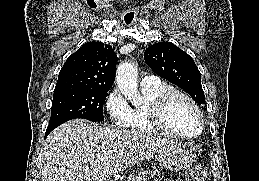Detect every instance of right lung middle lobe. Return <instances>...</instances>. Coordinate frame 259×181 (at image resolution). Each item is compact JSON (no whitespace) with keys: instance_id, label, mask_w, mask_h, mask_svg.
Returning <instances> with one entry per match:
<instances>
[{"instance_id":"1","label":"right lung middle lobe","mask_w":259,"mask_h":181,"mask_svg":"<svg viewBox=\"0 0 259 181\" xmlns=\"http://www.w3.org/2000/svg\"><path fill=\"white\" fill-rule=\"evenodd\" d=\"M109 90L89 88H55L48 132L76 118L103 121V104Z\"/></svg>"}]
</instances>
